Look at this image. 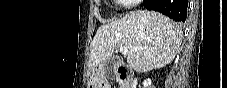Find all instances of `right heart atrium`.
<instances>
[{
  "mask_svg": "<svg viewBox=\"0 0 227 88\" xmlns=\"http://www.w3.org/2000/svg\"><path fill=\"white\" fill-rule=\"evenodd\" d=\"M120 1H121V3L126 5L128 8H133L141 2V0H120Z\"/></svg>",
  "mask_w": 227,
  "mask_h": 88,
  "instance_id": "obj_1",
  "label": "right heart atrium"
}]
</instances>
